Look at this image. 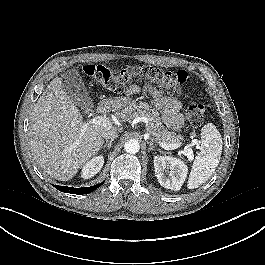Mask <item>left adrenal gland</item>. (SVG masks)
I'll return each instance as SVG.
<instances>
[{
	"label": "left adrenal gland",
	"instance_id": "left-adrenal-gland-1",
	"mask_svg": "<svg viewBox=\"0 0 265 265\" xmlns=\"http://www.w3.org/2000/svg\"><path fill=\"white\" fill-rule=\"evenodd\" d=\"M148 145H149V148H148V151L150 152L151 150H154L155 149V146L153 144L152 141H147Z\"/></svg>",
	"mask_w": 265,
	"mask_h": 265
}]
</instances>
